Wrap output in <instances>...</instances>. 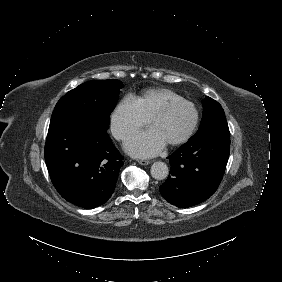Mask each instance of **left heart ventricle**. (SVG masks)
<instances>
[{"mask_svg":"<svg viewBox=\"0 0 282 282\" xmlns=\"http://www.w3.org/2000/svg\"><path fill=\"white\" fill-rule=\"evenodd\" d=\"M172 101L171 99H165L157 111L164 109ZM191 121V113L187 108H175L166 115L158 118L153 123V127L158 129L165 141H170L179 138L188 128Z\"/></svg>","mask_w":282,"mask_h":282,"instance_id":"1","label":"left heart ventricle"}]
</instances>
